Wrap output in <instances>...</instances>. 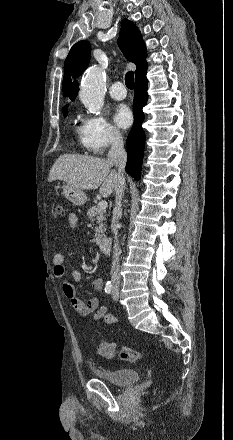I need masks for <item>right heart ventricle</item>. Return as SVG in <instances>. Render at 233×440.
<instances>
[{"instance_id": "right-heart-ventricle-1", "label": "right heart ventricle", "mask_w": 233, "mask_h": 440, "mask_svg": "<svg viewBox=\"0 0 233 440\" xmlns=\"http://www.w3.org/2000/svg\"><path fill=\"white\" fill-rule=\"evenodd\" d=\"M76 132L81 135V128L80 127H76Z\"/></svg>"}]
</instances>
